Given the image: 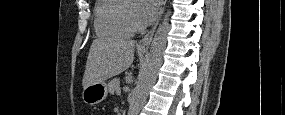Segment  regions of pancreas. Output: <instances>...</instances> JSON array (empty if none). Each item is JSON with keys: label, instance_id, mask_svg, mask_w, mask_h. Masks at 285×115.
<instances>
[{"label": "pancreas", "instance_id": "pancreas-1", "mask_svg": "<svg viewBox=\"0 0 285 115\" xmlns=\"http://www.w3.org/2000/svg\"><path fill=\"white\" fill-rule=\"evenodd\" d=\"M120 85V80L118 78H113L112 80L109 81L108 83V92L110 94H114L117 92L118 88Z\"/></svg>", "mask_w": 285, "mask_h": 115}]
</instances>
